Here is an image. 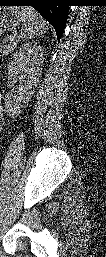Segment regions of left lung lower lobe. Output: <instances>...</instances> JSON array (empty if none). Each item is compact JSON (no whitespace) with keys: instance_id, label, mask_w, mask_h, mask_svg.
I'll list each match as a JSON object with an SVG mask.
<instances>
[{"instance_id":"left-lung-lower-lobe-1","label":"left lung lower lobe","mask_w":106,"mask_h":257,"mask_svg":"<svg viewBox=\"0 0 106 257\" xmlns=\"http://www.w3.org/2000/svg\"><path fill=\"white\" fill-rule=\"evenodd\" d=\"M69 0H0L1 5L33 6L55 29L60 40L67 22Z\"/></svg>"}]
</instances>
